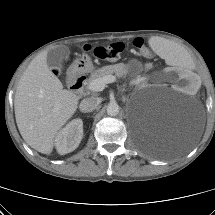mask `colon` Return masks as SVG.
Listing matches in <instances>:
<instances>
[{"mask_svg":"<svg viewBox=\"0 0 215 215\" xmlns=\"http://www.w3.org/2000/svg\"><path fill=\"white\" fill-rule=\"evenodd\" d=\"M134 45L141 50L143 56H145V57L150 56L149 51L146 49V47L141 39L137 38L134 41ZM123 49H124V45L122 43H112L107 46H97L94 48H92L91 46L85 47V50H87V51L92 50L95 57H97L99 59H105V60L118 59L120 54L122 53Z\"/></svg>","mask_w":215,"mask_h":215,"instance_id":"1","label":"colon"}]
</instances>
